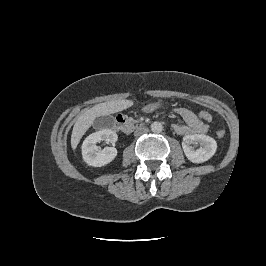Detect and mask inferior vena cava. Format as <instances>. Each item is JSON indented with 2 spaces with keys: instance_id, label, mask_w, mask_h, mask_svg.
<instances>
[{
  "instance_id": "602c4592",
  "label": "inferior vena cava",
  "mask_w": 266,
  "mask_h": 266,
  "mask_svg": "<svg viewBox=\"0 0 266 266\" xmlns=\"http://www.w3.org/2000/svg\"><path fill=\"white\" fill-rule=\"evenodd\" d=\"M146 132H148V128H145V127H143V128H138V129L134 132V135H135V136H139V135H141V134H143V133H146Z\"/></svg>"
}]
</instances>
